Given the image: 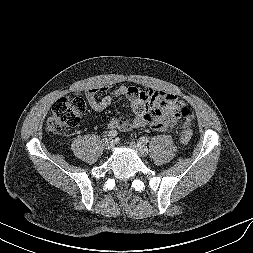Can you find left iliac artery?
I'll return each mask as SVG.
<instances>
[{"mask_svg":"<svg viewBox=\"0 0 253 253\" xmlns=\"http://www.w3.org/2000/svg\"><path fill=\"white\" fill-rule=\"evenodd\" d=\"M140 142L146 145V144H148L149 140L146 137H141Z\"/></svg>","mask_w":253,"mask_h":253,"instance_id":"1","label":"left iliac artery"}]
</instances>
